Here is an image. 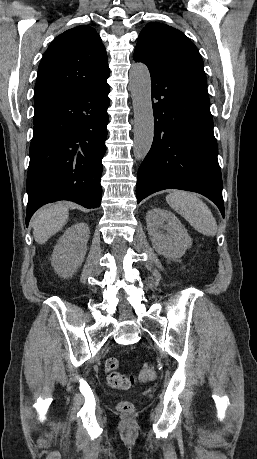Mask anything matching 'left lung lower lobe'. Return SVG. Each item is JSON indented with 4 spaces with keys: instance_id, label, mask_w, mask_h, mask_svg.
I'll return each instance as SVG.
<instances>
[{
    "instance_id": "1",
    "label": "left lung lower lobe",
    "mask_w": 257,
    "mask_h": 459,
    "mask_svg": "<svg viewBox=\"0 0 257 459\" xmlns=\"http://www.w3.org/2000/svg\"><path fill=\"white\" fill-rule=\"evenodd\" d=\"M150 76L154 139L137 173V202L167 188L193 191L212 200L224 217L206 76Z\"/></svg>"
}]
</instances>
